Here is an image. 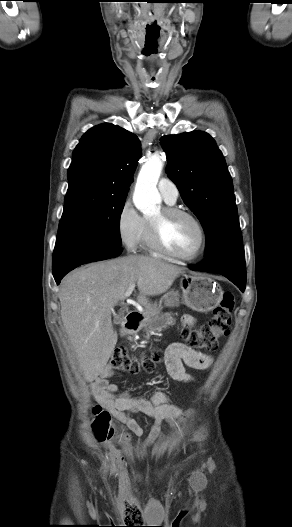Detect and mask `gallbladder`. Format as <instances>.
<instances>
[{"mask_svg": "<svg viewBox=\"0 0 292 527\" xmlns=\"http://www.w3.org/2000/svg\"><path fill=\"white\" fill-rule=\"evenodd\" d=\"M122 321V318L120 316H115L114 317V324H120Z\"/></svg>", "mask_w": 292, "mask_h": 527, "instance_id": "obj_1", "label": "gallbladder"}]
</instances>
